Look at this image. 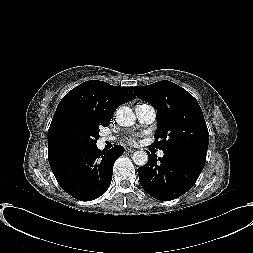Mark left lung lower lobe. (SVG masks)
<instances>
[{
    "label": "left lung lower lobe",
    "mask_w": 253,
    "mask_h": 253,
    "mask_svg": "<svg viewBox=\"0 0 253 253\" xmlns=\"http://www.w3.org/2000/svg\"><path fill=\"white\" fill-rule=\"evenodd\" d=\"M147 164L138 168L142 188L161 201L176 199L196 183L206 159L180 151H164L158 158L149 154Z\"/></svg>",
    "instance_id": "obj_1"
}]
</instances>
